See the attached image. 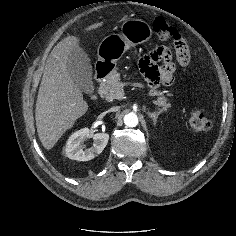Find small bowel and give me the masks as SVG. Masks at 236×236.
I'll list each match as a JSON object with an SVG mask.
<instances>
[{
    "label": "small bowel",
    "instance_id": "1",
    "mask_svg": "<svg viewBox=\"0 0 236 236\" xmlns=\"http://www.w3.org/2000/svg\"><path fill=\"white\" fill-rule=\"evenodd\" d=\"M176 54L180 67L185 70L190 61L189 50L185 49L176 52ZM158 62H161L159 67L157 66ZM140 68L151 87H156L159 84L169 86L173 83L176 66L172 59V53L165 47H158L144 56L140 61Z\"/></svg>",
    "mask_w": 236,
    "mask_h": 236
}]
</instances>
